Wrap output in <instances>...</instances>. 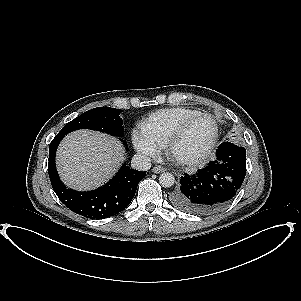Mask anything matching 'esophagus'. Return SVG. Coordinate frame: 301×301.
<instances>
[{"label": "esophagus", "instance_id": "34e87169", "mask_svg": "<svg viewBox=\"0 0 301 301\" xmlns=\"http://www.w3.org/2000/svg\"><path fill=\"white\" fill-rule=\"evenodd\" d=\"M166 169L160 165H156L153 167L152 171L154 173H160V172H164Z\"/></svg>", "mask_w": 301, "mask_h": 301}]
</instances>
